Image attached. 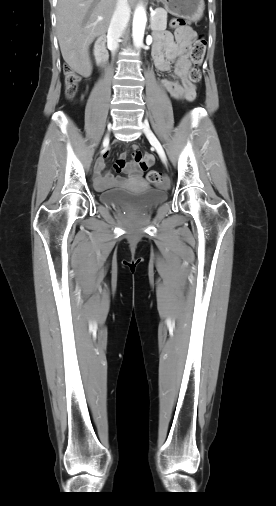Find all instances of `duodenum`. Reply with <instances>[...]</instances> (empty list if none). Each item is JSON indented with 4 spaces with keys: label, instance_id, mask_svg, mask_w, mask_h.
Segmentation results:
<instances>
[{
    "label": "duodenum",
    "instance_id": "410a0bca",
    "mask_svg": "<svg viewBox=\"0 0 276 506\" xmlns=\"http://www.w3.org/2000/svg\"><path fill=\"white\" fill-rule=\"evenodd\" d=\"M97 53H98V56L100 58V62L101 63H106L107 59H108V54H107V51H106V48H105V38H102L98 44H97Z\"/></svg>",
    "mask_w": 276,
    "mask_h": 506
}]
</instances>
